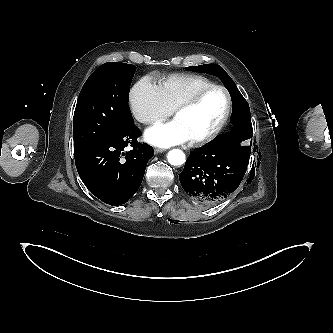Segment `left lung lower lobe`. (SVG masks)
Returning <instances> with one entry per match:
<instances>
[{
    "label": "left lung lower lobe",
    "instance_id": "1",
    "mask_svg": "<svg viewBox=\"0 0 333 333\" xmlns=\"http://www.w3.org/2000/svg\"><path fill=\"white\" fill-rule=\"evenodd\" d=\"M229 142H212L190 153L179 174L185 192L197 203L214 206L240 185L246 173L249 158L243 156ZM251 170L250 176H252Z\"/></svg>",
    "mask_w": 333,
    "mask_h": 333
}]
</instances>
